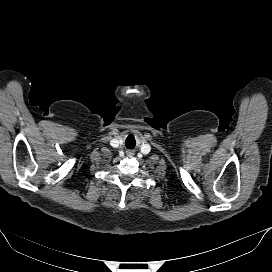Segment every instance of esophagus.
I'll use <instances>...</instances> for the list:
<instances>
[{
  "mask_svg": "<svg viewBox=\"0 0 272 272\" xmlns=\"http://www.w3.org/2000/svg\"><path fill=\"white\" fill-rule=\"evenodd\" d=\"M133 153H128V155H132Z\"/></svg>",
  "mask_w": 272,
  "mask_h": 272,
  "instance_id": "obj_1",
  "label": "esophagus"
}]
</instances>
